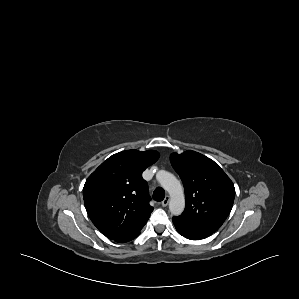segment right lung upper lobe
<instances>
[{"mask_svg":"<svg viewBox=\"0 0 299 299\" xmlns=\"http://www.w3.org/2000/svg\"><path fill=\"white\" fill-rule=\"evenodd\" d=\"M159 158L153 150H126L105 160L86 180L83 198L93 224L114 241L139 234L153 208L142 172Z\"/></svg>","mask_w":299,"mask_h":299,"instance_id":"1","label":"right lung upper lobe"}]
</instances>
